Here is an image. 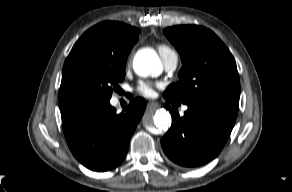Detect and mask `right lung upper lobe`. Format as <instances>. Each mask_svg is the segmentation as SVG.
I'll list each match as a JSON object with an SVG mask.
<instances>
[{"mask_svg": "<svg viewBox=\"0 0 292 192\" xmlns=\"http://www.w3.org/2000/svg\"><path fill=\"white\" fill-rule=\"evenodd\" d=\"M96 32L112 52L129 54L138 40L140 30L121 22L106 21L89 29Z\"/></svg>", "mask_w": 292, "mask_h": 192, "instance_id": "1", "label": "right lung upper lobe"}]
</instances>
